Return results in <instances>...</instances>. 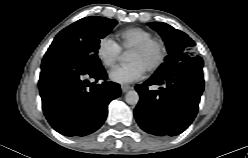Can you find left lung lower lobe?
I'll use <instances>...</instances> for the list:
<instances>
[{
    "mask_svg": "<svg viewBox=\"0 0 248 158\" xmlns=\"http://www.w3.org/2000/svg\"><path fill=\"white\" fill-rule=\"evenodd\" d=\"M203 60L186 59L161 76L136 85L140 101L134 109L139 126L157 136L182 133L194 120L204 89ZM161 86L158 91L148 86Z\"/></svg>",
    "mask_w": 248,
    "mask_h": 158,
    "instance_id": "obj_1",
    "label": "left lung lower lobe"
}]
</instances>
